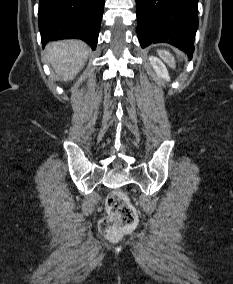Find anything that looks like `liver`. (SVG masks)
Segmentation results:
<instances>
[{"instance_id": "1", "label": "liver", "mask_w": 233, "mask_h": 284, "mask_svg": "<svg viewBox=\"0 0 233 284\" xmlns=\"http://www.w3.org/2000/svg\"><path fill=\"white\" fill-rule=\"evenodd\" d=\"M47 60L63 81L73 79L83 68L90 52L86 43L64 40L49 43L45 48Z\"/></svg>"}]
</instances>
